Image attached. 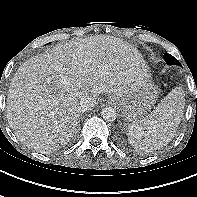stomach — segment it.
<instances>
[{
	"instance_id": "obj_1",
	"label": "stomach",
	"mask_w": 197,
	"mask_h": 197,
	"mask_svg": "<svg viewBox=\"0 0 197 197\" xmlns=\"http://www.w3.org/2000/svg\"><path fill=\"white\" fill-rule=\"evenodd\" d=\"M158 98V90L150 80L143 81L128 96L119 98L114 96L126 122L139 121L154 106Z\"/></svg>"
}]
</instances>
